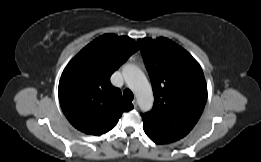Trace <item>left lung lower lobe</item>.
I'll list each match as a JSON object with an SVG mask.
<instances>
[{
  "label": "left lung lower lobe",
  "instance_id": "left-lung-lower-lobe-1",
  "mask_svg": "<svg viewBox=\"0 0 261 162\" xmlns=\"http://www.w3.org/2000/svg\"><path fill=\"white\" fill-rule=\"evenodd\" d=\"M144 131L145 133L147 134V136L155 143L157 144H167V143H170V142H173V141H170V140H166V139H163L155 134H153L150 130H148L147 128L144 127Z\"/></svg>",
  "mask_w": 261,
  "mask_h": 162
}]
</instances>
